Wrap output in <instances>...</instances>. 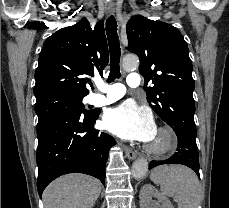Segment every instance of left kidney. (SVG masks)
I'll list each match as a JSON object with an SVG mask.
<instances>
[{
	"mask_svg": "<svg viewBox=\"0 0 229 208\" xmlns=\"http://www.w3.org/2000/svg\"><path fill=\"white\" fill-rule=\"evenodd\" d=\"M152 198H157L158 202L161 204V208H173L170 200L159 194L154 186L151 184H144L140 192V206L141 208H157L156 202H153Z\"/></svg>",
	"mask_w": 229,
	"mask_h": 208,
	"instance_id": "obj_1",
	"label": "left kidney"
}]
</instances>
